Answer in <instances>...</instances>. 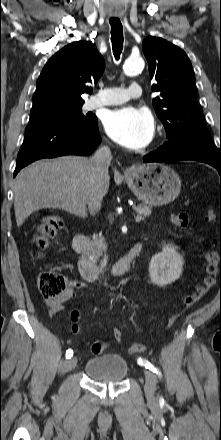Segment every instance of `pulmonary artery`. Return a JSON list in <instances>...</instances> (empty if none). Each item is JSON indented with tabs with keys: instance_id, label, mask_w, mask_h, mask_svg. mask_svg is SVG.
I'll return each mask as SVG.
<instances>
[{
	"instance_id": "1",
	"label": "pulmonary artery",
	"mask_w": 221,
	"mask_h": 440,
	"mask_svg": "<svg viewBox=\"0 0 221 440\" xmlns=\"http://www.w3.org/2000/svg\"><path fill=\"white\" fill-rule=\"evenodd\" d=\"M142 95V88L138 83H132L128 88H104L91 98L87 103V109L122 104L132 98H138Z\"/></svg>"
}]
</instances>
